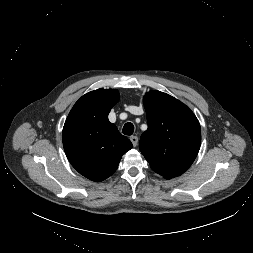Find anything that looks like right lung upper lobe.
<instances>
[{
  "instance_id": "1",
  "label": "right lung upper lobe",
  "mask_w": 253,
  "mask_h": 253,
  "mask_svg": "<svg viewBox=\"0 0 253 253\" xmlns=\"http://www.w3.org/2000/svg\"><path fill=\"white\" fill-rule=\"evenodd\" d=\"M116 89H97L83 95L63 127V146L71 165L84 177L100 182L117 169L131 141L108 120L118 102Z\"/></svg>"
}]
</instances>
